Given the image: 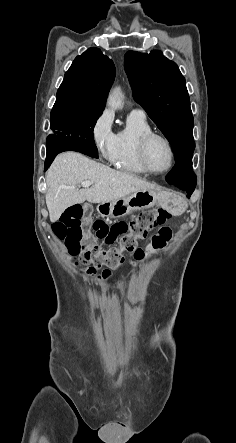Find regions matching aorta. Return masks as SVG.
Returning a JSON list of instances; mask_svg holds the SVG:
<instances>
[{
  "mask_svg": "<svg viewBox=\"0 0 236 443\" xmlns=\"http://www.w3.org/2000/svg\"><path fill=\"white\" fill-rule=\"evenodd\" d=\"M108 105L112 109H119L122 107V92L120 88H115L108 97Z\"/></svg>",
  "mask_w": 236,
  "mask_h": 443,
  "instance_id": "762f6f07",
  "label": "aorta"
}]
</instances>
